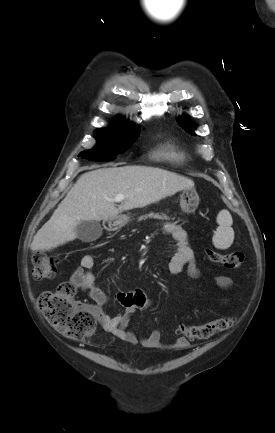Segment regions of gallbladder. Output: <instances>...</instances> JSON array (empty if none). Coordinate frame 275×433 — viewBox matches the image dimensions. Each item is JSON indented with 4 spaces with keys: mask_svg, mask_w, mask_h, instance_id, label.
Here are the masks:
<instances>
[{
    "mask_svg": "<svg viewBox=\"0 0 275 433\" xmlns=\"http://www.w3.org/2000/svg\"><path fill=\"white\" fill-rule=\"evenodd\" d=\"M76 234L82 242H92L102 235V227L98 221H83L76 227Z\"/></svg>",
    "mask_w": 275,
    "mask_h": 433,
    "instance_id": "1",
    "label": "gallbladder"
}]
</instances>
